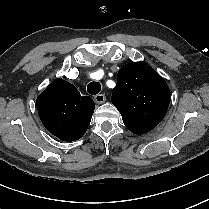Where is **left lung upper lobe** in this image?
<instances>
[{
	"label": "left lung upper lobe",
	"mask_w": 209,
	"mask_h": 209,
	"mask_svg": "<svg viewBox=\"0 0 209 209\" xmlns=\"http://www.w3.org/2000/svg\"><path fill=\"white\" fill-rule=\"evenodd\" d=\"M169 99L168 85L147 63L132 62L118 71L111 101L131 132L144 134L157 126L166 114Z\"/></svg>",
	"instance_id": "left-lung-upper-lobe-1"
}]
</instances>
